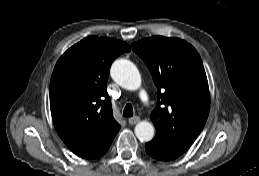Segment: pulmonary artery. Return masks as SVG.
<instances>
[{
    "instance_id": "e3ab8cb5",
    "label": "pulmonary artery",
    "mask_w": 259,
    "mask_h": 176,
    "mask_svg": "<svg viewBox=\"0 0 259 176\" xmlns=\"http://www.w3.org/2000/svg\"><path fill=\"white\" fill-rule=\"evenodd\" d=\"M140 99L143 103H146L148 101V96H147L146 92H144V91L140 92Z\"/></svg>"
}]
</instances>
